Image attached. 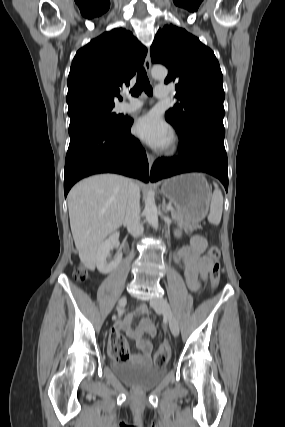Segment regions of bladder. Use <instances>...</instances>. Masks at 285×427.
I'll use <instances>...</instances> for the list:
<instances>
[{"label":"bladder","mask_w":285,"mask_h":427,"mask_svg":"<svg viewBox=\"0 0 285 427\" xmlns=\"http://www.w3.org/2000/svg\"><path fill=\"white\" fill-rule=\"evenodd\" d=\"M112 369L124 382L138 389L155 387L167 373L164 366L140 363L113 362Z\"/></svg>","instance_id":"bladder-1"}]
</instances>
